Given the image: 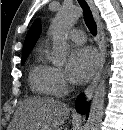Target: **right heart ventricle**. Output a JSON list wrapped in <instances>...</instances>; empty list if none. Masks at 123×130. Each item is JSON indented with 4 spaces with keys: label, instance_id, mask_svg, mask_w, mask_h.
Instances as JSON below:
<instances>
[{
    "label": "right heart ventricle",
    "instance_id": "e07e8e85",
    "mask_svg": "<svg viewBox=\"0 0 123 130\" xmlns=\"http://www.w3.org/2000/svg\"><path fill=\"white\" fill-rule=\"evenodd\" d=\"M55 71L42 51L35 54L30 71V80L36 93L45 97L56 96Z\"/></svg>",
    "mask_w": 123,
    "mask_h": 130
}]
</instances>
